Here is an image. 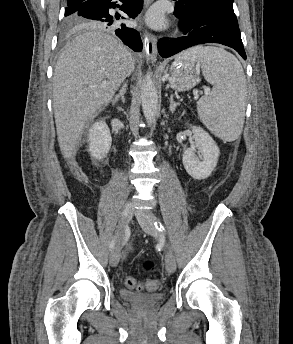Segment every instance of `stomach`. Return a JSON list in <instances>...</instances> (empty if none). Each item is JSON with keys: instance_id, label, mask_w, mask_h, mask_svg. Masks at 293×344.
<instances>
[{"instance_id": "obj_1", "label": "stomach", "mask_w": 293, "mask_h": 344, "mask_svg": "<svg viewBox=\"0 0 293 344\" xmlns=\"http://www.w3.org/2000/svg\"><path fill=\"white\" fill-rule=\"evenodd\" d=\"M165 80L177 91L190 90L200 82V66L190 59L177 57Z\"/></svg>"}]
</instances>
